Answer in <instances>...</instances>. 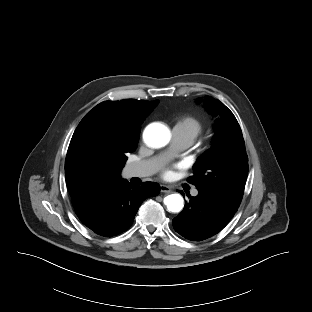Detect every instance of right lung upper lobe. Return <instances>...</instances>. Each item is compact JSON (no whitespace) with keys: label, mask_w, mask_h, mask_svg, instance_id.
Masks as SVG:
<instances>
[{"label":"right lung upper lobe","mask_w":312,"mask_h":312,"mask_svg":"<svg viewBox=\"0 0 312 312\" xmlns=\"http://www.w3.org/2000/svg\"><path fill=\"white\" fill-rule=\"evenodd\" d=\"M158 102L105 101L81 120L65 160L66 184L79 219L88 216L123 182L121 156L135 150L140 126Z\"/></svg>","instance_id":"cb5924a9"}]
</instances>
